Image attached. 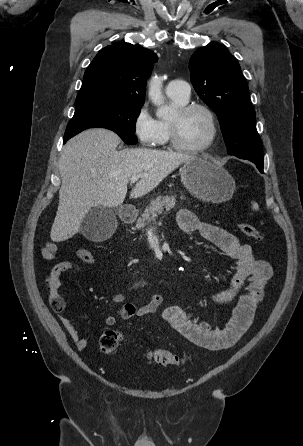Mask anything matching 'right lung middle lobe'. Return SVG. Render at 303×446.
Masks as SVG:
<instances>
[{
    "label": "right lung middle lobe",
    "instance_id": "dd1d6c3e",
    "mask_svg": "<svg viewBox=\"0 0 303 446\" xmlns=\"http://www.w3.org/2000/svg\"><path fill=\"white\" fill-rule=\"evenodd\" d=\"M142 106L121 103H95L77 106L69 121L64 143L88 128H106L117 133L127 144H136L135 122Z\"/></svg>",
    "mask_w": 303,
    "mask_h": 446
}]
</instances>
